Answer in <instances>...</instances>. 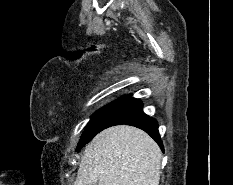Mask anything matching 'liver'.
I'll list each match as a JSON object with an SVG mask.
<instances>
[{"instance_id": "6515ba94", "label": "liver", "mask_w": 233, "mask_h": 185, "mask_svg": "<svg viewBox=\"0 0 233 185\" xmlns=\"http://www.w3.org/2000/svg\"><path fill=\"white\" fill-rule=\"evenodd\" d=\"M162 153L136 127L113 126L86 146L75 185H159Z\"/></svg>"}]
</instances>
